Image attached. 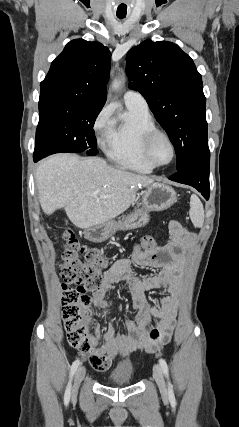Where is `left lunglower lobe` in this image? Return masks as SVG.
<instances>
[{"instance_id": "0a47b994", "label": "left lung lower lobe", "mask_w": 239, "mask_h": 427, "mask_svg": "<svg viewBox=\"0 0 239 427\" xmlns=\"http://www.w3.org/2000/svg\"><path fill=\"white\" fill-rule=\"evenodd\" d=\"M210 153L193 160L187 167L169 177L170 180L196 188L208 200Z\"/></svg>"}]
</instances>
